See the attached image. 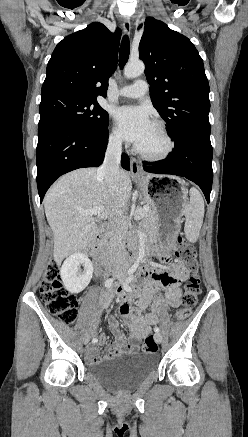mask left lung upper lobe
I'll return each instance as SVG.
<instances>
[{
    "instance_id": "left-lung-upper-lobe-1",
    "label": "left lung upper lobe",
    "mask_w": 248,
    "mask_h": 437,
    "mask_svg": "<svg viewBox=\"0 0 248 437\" xmlns=\"http://www.w3.org/2000/svg\"><path fill=\"white\" fill-rule=\"evenodd\" d=\"M139 55L145 63L153 106L167 123L172 139L192 125L209 123L208 79L203 60L187 37L147 18Z\"/></svg>"
}]
</instances>
